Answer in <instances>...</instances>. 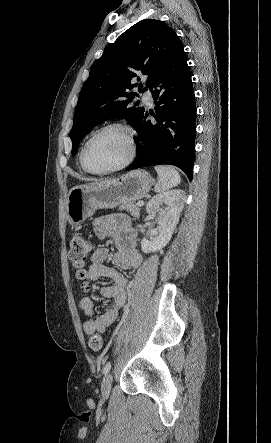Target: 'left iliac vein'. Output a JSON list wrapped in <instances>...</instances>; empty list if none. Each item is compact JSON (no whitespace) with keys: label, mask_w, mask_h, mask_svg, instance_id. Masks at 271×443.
<instances>
[{"label":"left iliac vein","mask_w":271,"mask_h":443,"mask_svg":"<svg viewBox=\"0 0 271 443\" xmlns=\"http://www.w3.org/2000/svg\"><path fill=\"white\" fill-rule=\"evenodd\" d=\"M113 377L111 374H106L101 384V392L104 398H107L111 392Z\"/></svg>","instance_id":"left-iliac-vein-1"}]
</instances>
